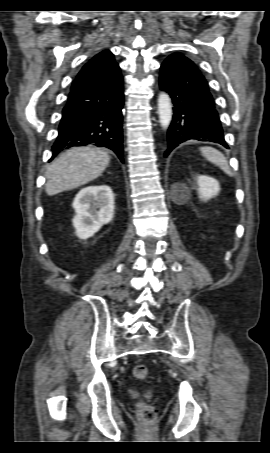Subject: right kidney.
<instances>
[{"mask_svg": "<svg viewBox=\"0 0 270 453\" xmlns=\"http://www.w3.org/2000/svg\"><path fill=\"white\" fill-rule=\"evenodd\" d=\"M76 215L72 219L80 239L92 237L114 216V194L107 185L88 186L79 191L73 204Z\"/></svg>", "mask_w": 270, "mask_h": 453, "instance_id": "right-kidney-1", "label": "right kidney"}]
</instances>
